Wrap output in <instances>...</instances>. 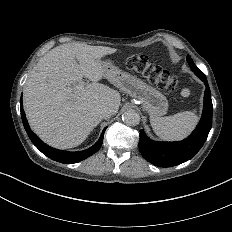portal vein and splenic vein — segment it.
<instances>
[{"mask_svg":"<svg viewBox=\"0 0 232 232\" xmlns=\"http://www.w3.org/2000/svg\"><path fill=\"white\" fill-rule=\"evenodd\" d=\"M84 83L85 82L83 80L79 82L80 85H84Z\"/></svg>","mask_w":232,"mask_h":232,"instance_id":"portal-vein-and-splenic-vein-1","label":"portal vein and splenic vein"}]
</instances>
